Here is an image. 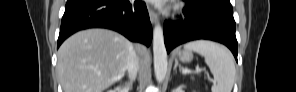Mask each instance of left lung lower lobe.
Wrapping results in <instances>:
<instances>
[{"label":"left lung lower lobe","instance_id":"left-lung-lower-lobe-1","mask_svg":"<svg viewBox=\"0 0 296 92\" xmlns=\"http://www.w3.org/2000/svg\"><path fill=\"white\" fill-rule=\"evenodd\" d=\"M186 20L166 21L164 41L167 52L196 39H208L226 45L237 60L238 44L230 0H184Z\"/></svg>","mask_w":296,"mask_h":92}]
</instances>
